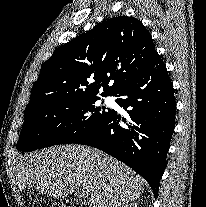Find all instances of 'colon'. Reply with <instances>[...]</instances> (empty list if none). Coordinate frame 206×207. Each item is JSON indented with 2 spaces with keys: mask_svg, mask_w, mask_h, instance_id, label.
I'll return each instance as SVG.
<instances>
[{
  "mask_svg": "<svg viewBox=\"0 0 206 207\" xmlns=\"http://www.w3.org/2000/svg\"><path fill=\"white\" fill-rule=\"evenodd\" d=\"M54 207H81L80 205L70 202L67 204H55Z\"/></svg>",
  "mask_w": 206,
  "mask_h": 207,
  "instance_id": "5ec220e1",
  "label": "colon"
}]
</instances>
